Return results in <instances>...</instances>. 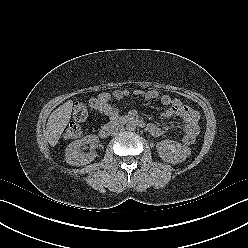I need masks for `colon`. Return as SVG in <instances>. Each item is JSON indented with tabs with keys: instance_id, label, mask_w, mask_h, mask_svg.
I'll use <instances>...</instances> for the list:
<instances>
[{
	"instance_id": "1",
	"label": "colon",
	"mask_w": 248,
	"mask_h": 248,
	"mask_svg": "<svg viewBox=\"0 0 248 248\" xmlns=\"http://www.w3.org/2000/svg\"><path fill=\"white\" fill-rule=\"evenodd\" d=\"M102 104V98L91 99L86 106L83 103H76L73 108V117L78 122H83L87 119L89 109L97 110ZM81 127L77 123H70L63 133V138L66 140H74L80 137ZM196 137L194 136H184L182 142L186 145H191L195 142Z\"/></svg>"
}]
</instances>
